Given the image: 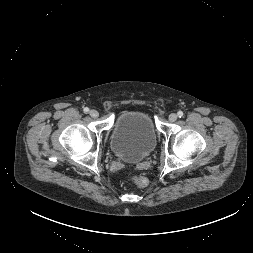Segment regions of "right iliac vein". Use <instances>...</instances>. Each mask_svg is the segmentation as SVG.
Instances as JSON below:
<instances>
[{
    "instance_id": "1",
    "label": "right iliac vein",
    "mask_w": 253,
    "mask_h": 253,
    "mask_svg": "<svg viewBox=\"0 0 253 253\" xmlns=\"http://www.w3.org/2000/svg\"><path fill=\"white\" fill-rule=\"evenodd\" d=\"M89 114H90V116L93 117V118H97V117L99 116L98 111H97V110H94V109L90 110Z\"/></svg>"
}]
</instances>
